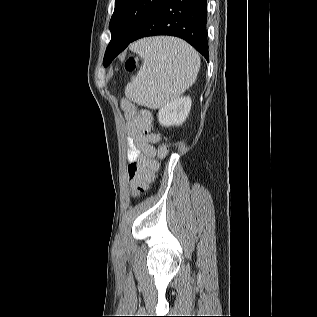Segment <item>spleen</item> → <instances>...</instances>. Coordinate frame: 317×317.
Masks as SVG:
<instances>
[{
    "mask_svg": "<svg viewBox=\"0 0 317 317\" xmlns=\"http://www.w3.org/2000/svg\"><path fill=\"white\" fill-rule=\"evenodd\" d=\"M131 51L143 59L136 77L125 87L126 97L152 109L179 98L197 79L198 53L174 37H153L133 43Z\"/></svg>",
    "mask_w": 317,
    "mask_h": 317,
    "instance_id": "1",
    "label": "spleen"
}]
</instances>
